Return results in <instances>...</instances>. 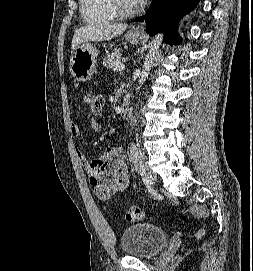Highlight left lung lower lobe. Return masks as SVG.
<instances>
[{
    "label": "left lung lower lobe",
    "instance_id": "left-lung-lower-lobe-1",
    "mask_svg": "<svg viewBox=\"0 0 253 271\" xmlns=\"http://www.w3.org/2000/svg\"><path fill=\"white\" fill-rule=\"evenodd\" d=\"M198 2L199 0H153L147 14L135 21L144 22L150 36L158 31H169L166 42L171 45L180 44L181 40L177 38L174 22L192 10Z\"/></svg>",
    "mask_w": 253,
    "mask_h": 271
}]
</instances>
